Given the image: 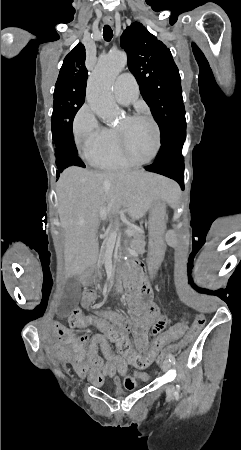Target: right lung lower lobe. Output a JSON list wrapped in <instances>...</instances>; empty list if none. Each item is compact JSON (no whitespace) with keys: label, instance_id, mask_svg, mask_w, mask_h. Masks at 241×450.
<instances>
[{"label":"right lung lower lobe","instance_id":"98d812e1","mask_svg":"<svg viewBox=\"0 0 241 450\" xmlns=\"http://www.w3.org/2000/svg\"><path fill=\"white\" fill-rule=\"evenodd\" d=\"M68 140H69L70 144H69V148H68V151L66 152L65 156H66L67 161L69 162L70 166L74 165V166L85 167L84 163L77 156L78 152H77V149L74 144L72 131H71L70 136L68 137Z\"/></svg>","mask_w":241,"mask_h":450}]
</instances>
